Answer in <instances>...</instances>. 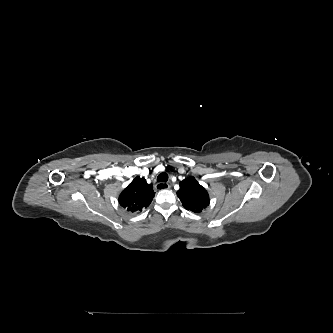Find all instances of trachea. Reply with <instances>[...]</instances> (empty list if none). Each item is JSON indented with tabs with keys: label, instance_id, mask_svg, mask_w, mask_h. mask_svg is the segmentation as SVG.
Masks as SVG:
<instances>
[{
	"label": "trachea",
	"instance_id": "3493384b",
	"mask_svg": "<svg viewBox=\"0 0 333 333\" xmlns=\"http://www.w3.org/2000/svg\"><path fill=\"white\" fill-rule=\"evenodd\" d=\"M158 182H167L168 181V175L165 172H162L157 177Z\"/></svg>",
	"mask_w": 333,
	"mask_h": 333
}]
</instances>
